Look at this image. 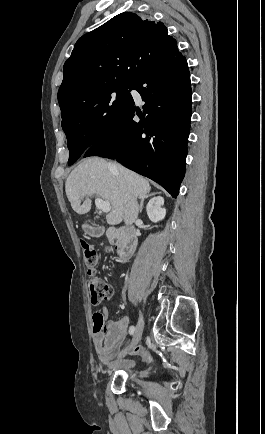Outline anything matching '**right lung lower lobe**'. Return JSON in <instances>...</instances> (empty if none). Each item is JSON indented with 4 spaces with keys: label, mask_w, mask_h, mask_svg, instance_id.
<instances>
[{
    "label": "right lung lower lobe",
    "mask_w": 265,
    "mask_h": 434,
    "mask_svg": "<svg viewBox=\"0 0 265 434\" xmlns=\"http://www.w3.org/2000/svg\"><path fill=\"white\" fill-rule=\"evenodd\" d=\"M145 102L127 113L83 157L116 159L163 186L176 198L185 174L191 119V83L177 46L152 63L133 83ZM138 116L140 120L136 118Z\"/></svg>",
    "instance_id": "98d812e1"
}]
</instances>
